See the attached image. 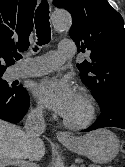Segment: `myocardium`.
<instances>
[{"label":"myocardium","instance_id":"1","mask_svg":"<svg viewBox=\"0 0 125 167\" xmlns=\"http://www.w3.org/2000/svg\"><path fill=\"white\" fill-rule=\"evenodd\" d=\"M79 96L82 98V100L84 101L87 107V115L83 120L77 121V122L68 120L67 118L64 117L63 124L67 128L72 129V130H81V129L88 127L93 122L96 116L95 101L90 95V93L86 91L85 89H80Z\"/></svg>","mask_w":125,"mask_h":167}]
</instances>
